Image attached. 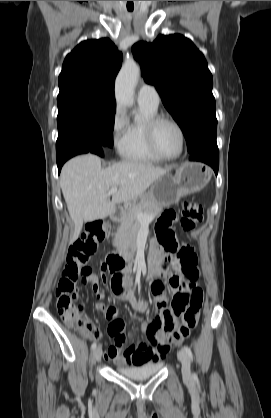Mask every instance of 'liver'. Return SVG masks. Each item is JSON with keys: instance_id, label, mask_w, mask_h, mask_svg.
Wrapping results in <instances>:
<instances>
[{"instance_id": "1", "label": "liver", "mask_w": 271, "mask_h": 418, "mask_svg": "<svg viewBox=\"0 0 271 418\" xmlns=\"http://www.w3.org/2000/svg\"><path fill=\"white\" fill-rule=\"evenodd\" d=\"M169 171L136 161H122L103 169L101 159L93 154L69 160L62 168L60 186L74 222L70 244L78 239L84 222L112 215L117 204L137 200ZM113 187L119 190L110 201L107 192Z\"/></svg>"}]
</instances>
